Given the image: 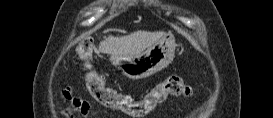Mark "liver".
Instances as JSON below:
<instances>
[{"label": "liver", "mask_w": 273, "mask_h": 118, "mask_svg": "<svg viewBox=\"0 0 273 118\" xmlns=\"http://www.w3.org/2000/svg\"><path fill=\"white\" fill-rule=\"evenodd\" d=\"M164 35L163 31H135L124 36L109 35L99 44V50L102 53L110 55H136L140 54Z\"/></svg>", "instance_id": "obj_1"}]
</instances>
